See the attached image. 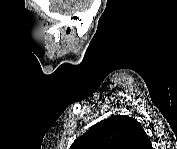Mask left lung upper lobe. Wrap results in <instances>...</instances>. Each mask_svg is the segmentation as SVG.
<instances>
[{
    "label": "left lung upper lobe",
    "mask_w": 177,
    "mask_h": 149,
    "mask_svg": "<svg viewBox=\"0 0 177 149\" xmlns=\"http://www.w3.org/2000/svg\"><path fill=\"white\" fill-rule=\"evenodd\" d=\"M141 124L126 115L112 116L93 125L70 149H148Z\"/></svg>",
    "instance_id": "left-lung-upper-lobe-1"
}]
</instances>
